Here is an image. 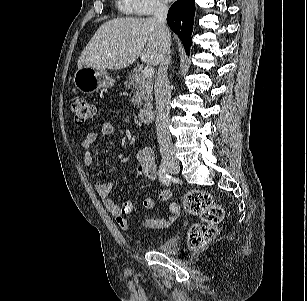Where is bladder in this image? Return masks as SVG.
<instances>
[{"instance_id": "31cf9c89", "label": "bladder", "mask_w": 307, "mask_h": 301, "mask_svg": "<svg viewBox=\"0 0 307 301\" xmlns=\"http://www.w3.org/2000/svg\"><path fill=\"white\" fill-rule=\"evenodd\" d=\"M178 245H179V237L170 236L162 240L158 244L157 251L161 253L172 254L176 252V250L178 249Z\"/></svg>"}]
</instances>
